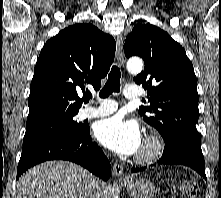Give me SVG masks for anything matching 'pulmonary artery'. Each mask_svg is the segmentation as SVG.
Wrapping results in <instances>:
<instances>
[{"mask_svg": "<svg viewBox=\"0 0 221 198\" xmlns=\"http://www.w3.org/2000/svg\"><path fill=\"white\" fill-rule=\"evenodd\" d=\"M124 95L128 99H137L140 96L136 86L128 85L125 87ZM98 105L87 106L81 110L80 116L83 119L107 116L117 109V103L108 99L97 98Z\"/></svg>", "mask_w": 221, "mask_h": 198, "instance_id": "obj_1", "label": "pulmonary artery"}]
</instances>
